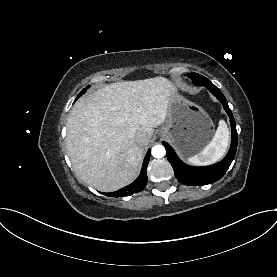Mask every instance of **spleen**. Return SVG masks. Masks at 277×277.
I'll use <instances>...</instances> for the list:
<instances>
[{"instance_id":"1","label":"spleen","mask_w":277,"mask_h":277,"mask_svg":"<svg viewBox=\"0 0 277 277\" xmlns=\"http://www.w3.org/2000/svg\"><path fill=\"white\" fill-rule=\"evenodd\" d=\"M229 143V130L225 121L220 120L212 141L198 154L187 161L193 165H208L218 161L226 152Z\"/></svg>"}]
</instances>
